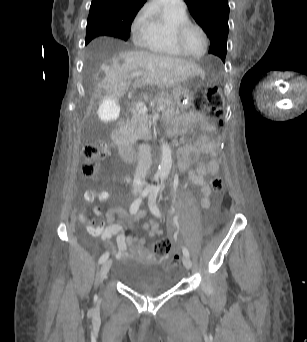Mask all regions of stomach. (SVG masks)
<instances>
[{
  "instance_id": "1",
  "label": "stomach",
  "mask_w": 307,
  "mask_h": 342,
  "mask_svg": "<svg viewBox=\"0 0 307 342\" xmlns=\"http://www.w3.org/2000/svg\"><path fill=\"white\" fill-rule=\"evenodd\" d=\"M201 82L202 76L195 75L174 88L172 99L178 110L184 111L190 106L195 93L201 86Z\"/></svg>"
}]
</instances>
